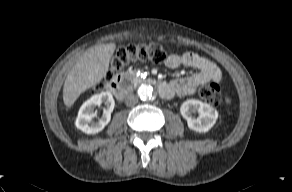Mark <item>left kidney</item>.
I'll list each match as a JSON object with an SVG mask.
<instances>
[{
  "instance_id": "obj_1",
  "label": "left kidney",
  "mask_w": 292,
  "mask_h": 192,
  "mask_svg": "<svg viewBox=\"0 0 292 192\" xmlns=\"http://www.w3.org/2000/svg\"><path fill=\"white\" fill-rule=\"evenodd\" d=\"M198 112L197 118L192 117V112ZM182 117L187 121L189 129L205 133L208 132L216 123L218 112L207 103L196 99H189L183 102L180 107Z\"/></svg>"
}]
</instances>
